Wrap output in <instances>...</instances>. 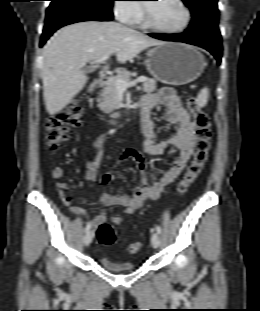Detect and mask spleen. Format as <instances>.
<instances>
[{
	"label": "spleen",
	"instance_id": "3e777b00",
	"mask_svg": "<svg viewBox=\"0 0 260 311\" xmlns=\"http://www.w3.org/2000/svg\"><path fill=\"white\" fill-rule=\"evenodd\" d=\"M208 98H209V89L207 87H204L198 93V96L196 99L197 107L198 108L204 107L208 102Z\"/></svg>",
	"mask_w": 260,
	"mask_h": 311
}]
</instances>
